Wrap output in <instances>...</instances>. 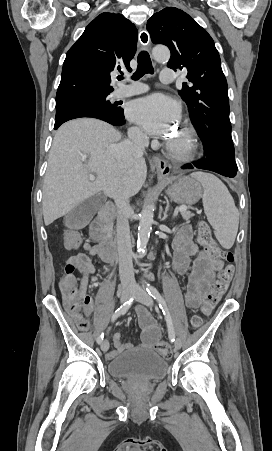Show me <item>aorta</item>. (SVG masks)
<instances>
[{"instance_id":"obj_1","label":"aorta","mask_w":272,"mask_h":451,"mask_svg":"<svg viewBox=\"0 0 272 451\" xmlns=\"http://www.w3.org/2000/svg\"><path fill=\"white\" fill-rule=\"evenodd\" d=\"M152 56L154 60H157V62H165V60H169L170 58V52L166 46H162V48H153L152 50ZM154 212V206L153 204H144L143 210L141 212L140 216V224L138 227V239H137V247L138 251H142V249H145L151 227L153 224V214Z\"/></svg>"}]
</instances>
